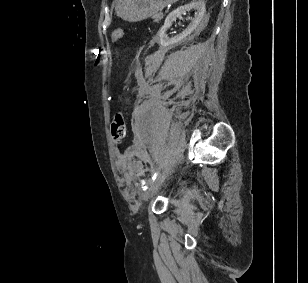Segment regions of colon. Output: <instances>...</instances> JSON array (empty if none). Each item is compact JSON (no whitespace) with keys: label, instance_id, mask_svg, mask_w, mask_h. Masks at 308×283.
<instances>
[{"label":"colon","instance_id":"obj_1","mask_svg":"<svg viewBox=\"0 0 308 283\" xmlns=\"http://www.w3.org/2000/svg\"><path fill=\"white\" fill-rule=\"evenodd\" d=\"M124 36V31L121 28H115L111 32L113 42L120 41ZM126 122L122 112H117L111 121V135L115 143L121 144L126 137Z\"/></svg>","mask_w":308,"mask_h":283}]
</instances>
